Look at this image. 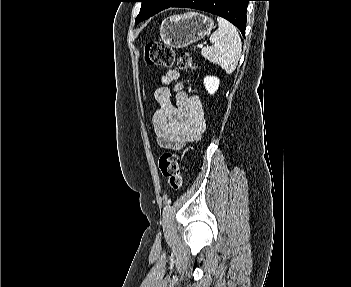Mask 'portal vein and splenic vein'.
Segmentation results:
<instances>
[{"mask_svg": "<svg viewBox=\"0 0 351 287\" xmlns=\"http://www.w3.org/2000/svg\"><path fill=\"white\" fill-rule=\"evenodd\" d=\"M199 47H200V48H203V45H200Z\"/></svg>", "mask_w": 351, "mask_h": 287, "instance_id": "obj_1", "label": "portal vein and splenic vein"}]
</instances>
